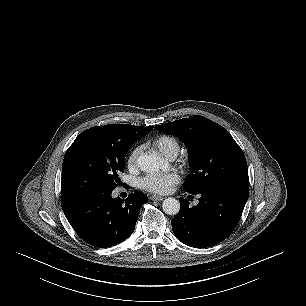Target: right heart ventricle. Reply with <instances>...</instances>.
<instances>
[{
    "instance_id": "e07e8e85",
    "label": "right heart ventricle",
    "mask_w": 306,
    "mask_h": 306,
    "mask_svg": "<svg viewBox=\"0 0 306 306\" xmlns=\"http://www.w3.org/2000/svg\"><path fill=\"white\" fill-rule=\"evenodd\" d=\"M152 147L163 156L173 159L180 150L179 141L170 135H160L152 140Z\"/></svg>"
}]
</instances>
